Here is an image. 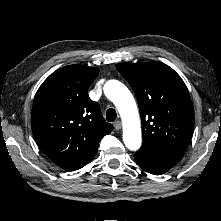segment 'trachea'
I'll return each mask as SVG.
<instances>
[{"mask_svg":"<svg viewBox=\"0 0 221 221\" xmlns=\"http://www.w3.org/2000/svg\"><path fill=\"white\" fill-rule=\"evenodd\" d=\"M116 116H117V114H116L115 109L109 108V109L106 111V120H107L108 122H114L115 119H116Z\"/></svg>","mask_w":221,"mask_h":221,"instance_id":"3493384b","label":"trachea"}]
</instances>
